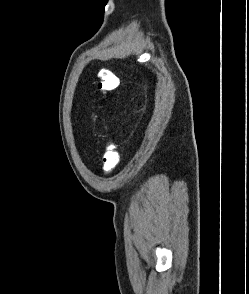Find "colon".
Listing matches in <instances>:
<instances>
[{"instance_id": "5ec220e1", "label": "colon", "mask_w": 249, "mask_h": 294, "mask_svg": "<svg viewBox=\"0 0 249 294\" xmlns=\"http://www.w3.org/2000/svg\"><path fill=\"white\" fill-rule=\"evenodd\" d=\"M120 79L114 76L112 80L107 79L105 76H101L98 80L99 100L104 101L108 95L116 90L119 86ZM119 161V153L114 150H109L104 156L103 169L105 172L112 171Z\"/></svg>"}]
</instances>
